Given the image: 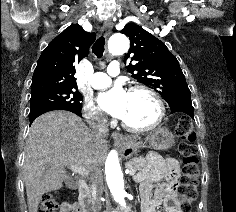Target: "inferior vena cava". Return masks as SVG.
I'll list each match as a JSON object with an SVG mask.
<instances>
[{"label": "inferior vena cava", "mask_w": 236, "mask_h": 212, "mask_svg": "<svg viewBox=\"0 0 236 212\" xmlns=\"http://www.w3.org/2000/svg\"><path fill=\"white\" fill-rule=\"evenodd\" d=\"M92 134L96 141L106 139L108 137V122L106 118H97L96 122L92 124ZM91 194L97 209H101V196L103 193V176L101 170L95 168L92 170L90 177Z\"/></svg>", "instance_id": "1"}]
</instances>
